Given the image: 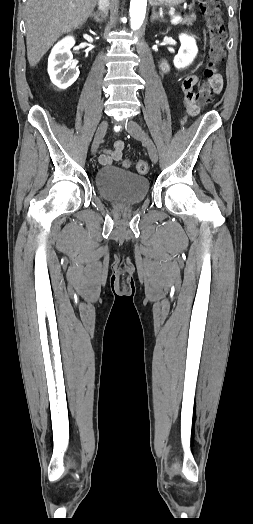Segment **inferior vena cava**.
Here are the masks:
<instances>
[{
    "instance_id": "602c4592",
    "label": "inferior vena cava",
    "mask_w": 253,
    "mask_h": 524,
    "mask_svg": "<svg viewBox=\"0 0 253 524\" xmlns=\"http://www.w3.org/2000/svg\"><path fill=\"white\" fill-rule=\"evenodd\" d=\"M110 5V0H98V7L100 11L107 13L108 7Z\"/></svg>"
}]
</instances>
